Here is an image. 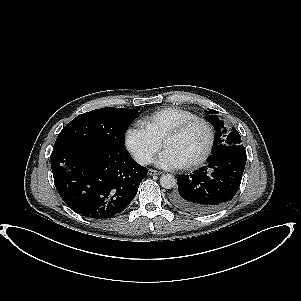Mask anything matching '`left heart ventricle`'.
<instances>
[{
	"instance_id": "obj_1",
	"label": "left heart ventricle",
	"mask_w": 301,
	"mask_h": 301,
	"mask_svg": "<svg viewBox=\"0 0 301 301\" xmlns=\"http://www.w3.org/2000/svg\"><path fill=\"white\" fill-rule=\"evenodd\" d=\"M207 142V131L204 125L195 123L183 133L169 139L165 148L173 151L187 163L199 156Z\"/></svg>"
}]
</instances>
